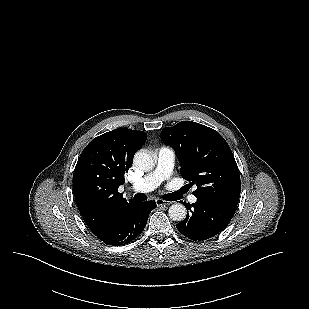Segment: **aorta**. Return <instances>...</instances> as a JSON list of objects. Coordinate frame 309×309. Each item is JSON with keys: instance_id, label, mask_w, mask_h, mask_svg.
Wrapping results in <instances>:
<instances>
[{"instance_id": "aorta-1", "label": "aorta", "mask_w": 309, "mask_h": 309, "mask_svg": "<svg viewBox=\"0 0 309 309\" xmlns=\"http://www.w3.org/2000/svg\"><path fill=\"white\" fill-rule=\"evenodd\" d=\"M134 164L145 172L151 171L155 166L153 156L146 150H139L135 154ZM168 213L173 221H183L186 217L187 210L183 204L175 203L169 207Z\"/></svg>"}]
</instances>
